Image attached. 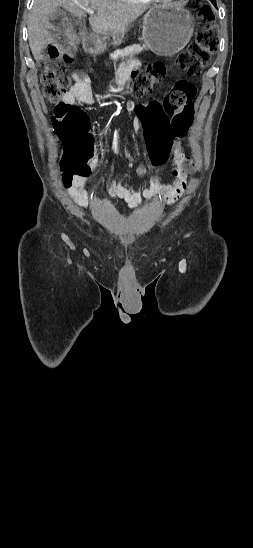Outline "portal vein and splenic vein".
I'll use <instances>...</instances> for the list:
<instances>
[{
    "label": "portal vein and splenic vein",
    "mask_w": 253,
    "mask_h": 548,
    "mask_svg": "<svg viewBox=\"0 0 253 548\" xmlns=\"http://www.w3.org/2000/svg\"><path fill=\"white\" fill-rule=\"evenodd\" d=\"M86 12H88L90 15L94 14V10H92V9H87Z\"/></svg>",
    "instance_id": "obj_1"
}]
</instances>
